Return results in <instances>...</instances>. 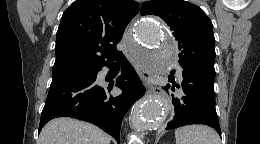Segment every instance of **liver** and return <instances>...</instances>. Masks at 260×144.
Here are the masks:
<instances>
[{
  "label": "liver",
  "instance_id": "obj_1",
  "mask_svg": "<svg viewBox=\"0 0 260 144\" xmlns=\"http://www.w3.org/2000/svg\"><path fill=\"white\" fill-rule=\"evenodd\" d=\"M110 136L98 127L69 117L49 121L38 144H110Z\"/></svg>",
  "mask_w": 260,
  "mask_h": 144
}]
</instances>
